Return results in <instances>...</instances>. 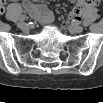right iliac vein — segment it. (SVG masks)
I'll use <instances>...</instances> for the list:
<instances>
[{
    "instance_id": "right-iliac-vein-1",
    "label": "right iliac vein",
    "mask_w": 103,
    "mask_h": 103,
    "mask_svg": "<svg viewBox=\"0 0 103 103\" xmlns=\"http://www.w3.org/2000/svg\"><path fill=\"white\" fill-rule=\"evenodd\" d=\"M17 26L20 28V29H25L27 28L28 24L24 21H20Z\"/></svg>"
}]
</instances>
